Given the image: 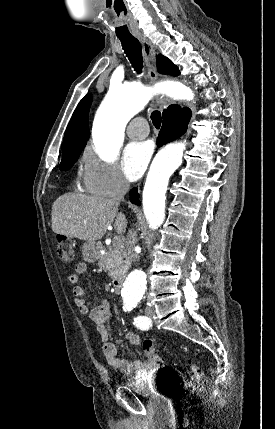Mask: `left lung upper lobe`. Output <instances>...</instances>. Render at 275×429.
Wrapping results in <instances>:
<instances>
[{"label":"left lung upper lobe","mask_w":275,"mask_h":429,"mask_svg":"<svg viewBox=\"0 0 275 429\" xmlns=\"http://www.w3.org/2000/svg\"><path fill=\"white\" fill-rule=\"evenodd\" d=\"M158 70L161 73L170 74L173 76L179 75L178 68L166 57L159 55L157 57Z\"/></svg>","instance_id":"left-lung-upper-lobe-1"}]
</instances>
